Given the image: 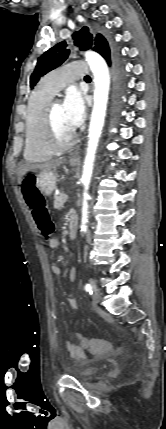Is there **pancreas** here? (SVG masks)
Masks as SVG:
<instances>
[{
  "label": "pancreas",
  "instance_id": "obj_1",
  "mask_svg": "<svg viewBox=\"0 0 166 429\" xmlns=\"http://www.w3.org/2000/svg\"><path fill=\"white\" fill-rule=\"evenodd\" d=\"M64 195L65 194L63 192H61L59 195L54 196V208L55 209H60L63 207V205L65 203Z\"/></svg>",
  "mask_w": 166,
  "mask_h": 429
}]
</instances>
